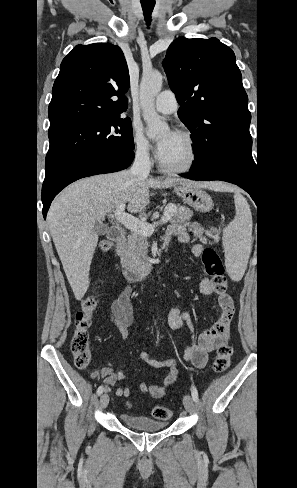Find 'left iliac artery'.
Wrapping results in <instances>:
<instances>
[{
  "label": "left iliac artery",
  "instance_id": "left-iliac-artery-1",
  "mask_svg": "<svg viewBox=\"0 0 297 488\" xmlns=\"http://www.w3.org/2000/svg\"><path fill=\"white\" fill-rule=\"evenodd\" d=\"M191 395H192L193 401L197 403L198 402V391L194 385H192V387H191Z\"/></svg>",
  "mask_w": 297,
  "mask_h": 488
}]
</instances>
